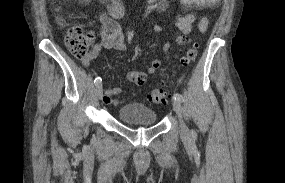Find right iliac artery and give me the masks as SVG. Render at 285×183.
<instances>
[{
  "instance_id": "1",
  "label": "right iliac artery",
  "mask_w": 285,
  "mask_h": 183,
  "mask_svg": "<svg viewBox=\"0 0 285 183\" xmlns=\"http://www.w3.org/2000/svg\"><path fill=\"white\" fill-rule=\"evenodd\" d=\"M101 81H102V79H101L100 77H97V78L94 80V83H95V85H98V84L101 83Z\"/></svg>"
}]
</instances>
